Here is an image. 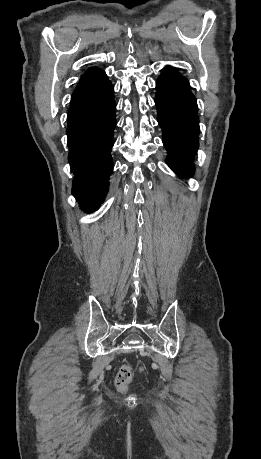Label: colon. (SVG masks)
I'll return each mask as SVG.
<instances>
[{
    "instance_id": "colon-1",
    "label": "colon",
    "mask_w": 261,
    "mask_h": 459,
    "mask_svg": "<svg viewBox=\"0 0 261 459\" xmlns=\"http://www.w3.org/2000/svg\"><path fill=\"white\" fill-rule=\"evenodd\" d=\"M133 373V368L131 365L123 366L116 379H115V386L119 392H125L127 389V385L131 379Z\"/></svg>"
}]
</instances>
